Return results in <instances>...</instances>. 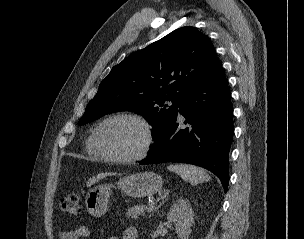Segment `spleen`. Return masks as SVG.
I'll list each match as a JSON object with an SVG mask.
<instances>
[{"label": "spleen", "mask_w": 304, "mask_h": 239, "mask_svg": "<svg viewBox=\"0 0 304 239\" xmlns=\"http://www.w3.org/2000/svg\"><path fill=\"white\" fill-rule=\"evenodd\" d=\"M171 172H175L181 176L183 180L189 182L191 185H197L204 181H209L210 176L197 166L187 164H171L168 166Z\"/></svg>", "instance_id": "3e777b00"}]
</instances>
